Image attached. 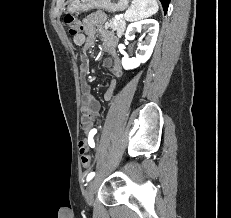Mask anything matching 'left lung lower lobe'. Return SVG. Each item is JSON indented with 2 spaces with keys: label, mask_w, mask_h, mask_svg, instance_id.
<instances>
[{
  "label": "left lung lower lobe",
  "mask_w": 231,
  "mask_h": 218,
  "mask_svg": "<svg viewBox=\"0 0 231 218\" xmlns=\"http://www.w3.org/2000/svg\"><path fill=\"white\" fill-rule=\"evenodd\" d=\"M160 2L162 3L164 12L166 13L167 9H168V6H169V3H170V0H160Z\"/></svg>",
  "instance_id": "obj_1"
}]
</instances>
